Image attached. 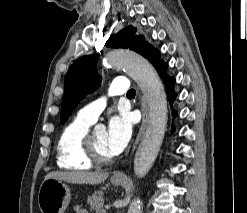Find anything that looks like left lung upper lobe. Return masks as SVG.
<instances>
[{
	"mask_svg": "<svg viewBox=\"0 0 247 213\" xmlns=\"http://www.w3.org/2000/svg\"><path fill=\"white\" fill-rule=\"evenodd\" d=\"M108 47L126 48L147 58L152 64L160 60L159 52L136 34V28L128 26L111 36ZM98 56L87 55L76 60L65 76V91L62 100L60 121L65 123L78 103L88 94L96 90L101 77L96 70Z\"/></svg>",
	"mask_w": 247,
	"mask_h": 213,
	"instance_id": "obj_1",
	"label": "left lung upper lobe"
}]
</instances>
